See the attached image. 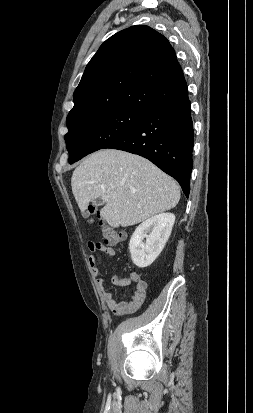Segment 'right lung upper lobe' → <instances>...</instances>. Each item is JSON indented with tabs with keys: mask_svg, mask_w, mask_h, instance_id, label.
Wrapping results in <instances>:
<instances>
[{
	"mask_svg": "<svg viewBox=\"0 0 253 413\" xmlns=\"http://www.w3.org/2000/svg\"><path fill=\"white\" fill-rule=\"evenodd\" d=\"M185 91L169 41L149 26H132L107 39L87 64L66 123L116 109L146 112Z\"/></svg>",
	"mask_w": 253,
	"mask_h": 413,
	"instance_id": "cb5924a9",
	"label": "right lung upper lobe"
}]
</instances>
